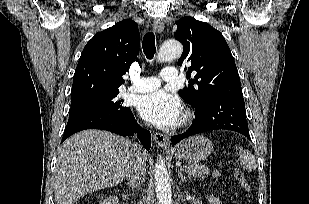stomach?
<instances>
[{
    "instance_id": "obj_1",
    "label": "stomach",
    "mask_w": 309,
    "mask_h": 204,
    "mask_svg": "<svg viewBox=\"0 0 309 204\" xmlns=\"http://www.w3.org/2000/svg\"><path fill=\"white\" fill-rule=\"evenodd\" d=\"M212 151V142L202 135L190 137L176 145L172 150L177 159L193 163L206 159Z\"/></svg>"
}]
</instances>
